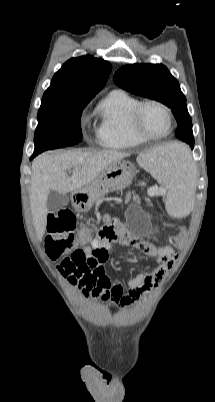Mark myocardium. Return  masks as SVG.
I'll return each mask as SVG.
<instances>
[{
	"mask_svg": "<svg viewBox=\"0 0 215 402\" xmlns=\"http://www.w3.org/2000/svg\"><path fill=\"white\" fill-rule=\"evenodd\" d=\"M149 105H154L157 106L159 108H161L167 115L168 118V122H169V126L167 131L164 134L161 135H153L148 133L143 125H142V112L144 110V108L146 106ZM131 125L133 128V131L141 138L145 139V140H160L163 139L165 137H167L173 129V115L172 112L170 110V108L164 104L163 102L159 101V100H155V99H146L143 101H139V103L135 106V108L132 111V115H131Z\"/></svg>",
	"mask_w": 215,
	"mask_h": 402,
	"instance_id": "1",
	"label": "myocardium"
}]
</instances>
